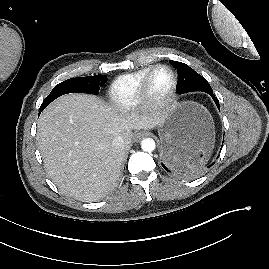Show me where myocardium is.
Wrapping results in <instances>:
<instances>
[{"label": "myocardium", "mask_w": 269, "mask_h": 269, "mask_svg": "<svg viewBox=\"0 0 269 269\" xmlns=\"http://www.w3.org/2000/svg\"><path fill=\"white\" fill-rule=\"evenodd\" d=\"M163 68L171 74V85L168 91L161 97H153L150 93V83L156 70ZM178 86V77L176 72L169 65L156 64L152 66L144 76L139 88V101L147 108L159 110L165 108L173 99Z\"/></svg>", "instance_id": "myocardium-1"}]
</instances>
